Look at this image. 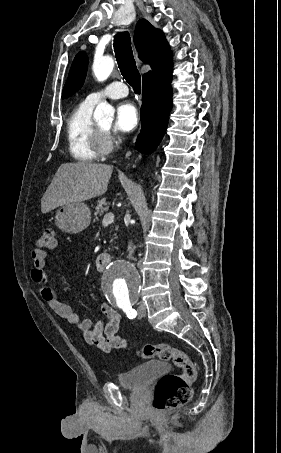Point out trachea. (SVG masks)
<instances>
[{
  "instance_id": "3493384b",
  "label": "trachea",
  "mask_w": 281,
  "mask_h": 453,
  "mask_svg": "<svg viewBox=\"0 0 281 453\" xmlns=\"http://www.w3.org/2000/svg\"><path fill=\"white\" fill-rule=\"evenodd\" d=\"M114 51L118 67L126 82L133 87L135 93L141 91V76L137 69L131 48V38L128 32H120L114 36Z\"/></svg>"
}]
</instances>
